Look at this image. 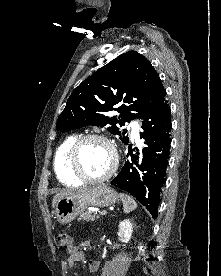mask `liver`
<instances>
[{
    "label": "liver",
    "instance_id": "6515ba94",
    "mask_svg": "<svg viewBox=\"0 0 221 276\" xmlns=\"http://www.w3.org/2000/svg\"><path fill=\"white\" fill-rule=\"evenodd\" d=\"M86 189H80V190H64V191H61L60 193H57L54 197H53V200H52V206L55 207L57 202L63 198V197H66L68 195H72V194H75V193H80V192H83L85 191Z\"/></svg>",
    "mask_w": 221,
    "mask_h": 276
}]
</instances>
